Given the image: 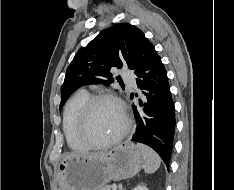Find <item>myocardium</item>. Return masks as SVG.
<instances>
[{"label":"myocardium","instance_id":"1","mask_svg":"<svg viewBox=\"0 0 234 190\" xmlns=\"http://www.w3.org/2000/svg\"><path fill=\"white\" fill-rule=\"evenodd\" d=\"M104 101L112 102L120 108L123 114V118H124V126L116 135H114L110 139L102 141V142H97L93 140L89 134V121H90L92 110L95 107V105ZM131 126H132V121L127 111V108L119 98H117L116 96L112 94H97V95L89 96V98L86 100V102L84 103L81 109V112L79 115V121H78V134L80 138L82 139V141L88 147L104 148V147L111 146L119 142L122 138H124L126 134L129 132V130L131 129Z\"/></svg>","mask_w":234,"mask_h":190}]
</instances>
